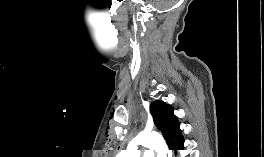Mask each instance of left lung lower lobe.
<instances>
[{"label":"left lung lower lobe","mask_w":264,"mask_h":157,"mask_svg":"<svg viewBox=\"0 0 264 157\" xmlns=\"http://www.w3.org/2000/svg\"><path fill=\"white\" fill-rule=\"evenodd\" d=\"M184 148V140H182L181 142H179L174 148H172L171 150H175V151H178V150H183Z\"/></svg>","instance_id":"0a47b994"}]
</instances>
